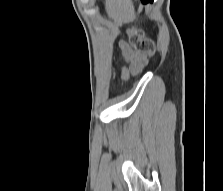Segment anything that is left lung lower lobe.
Wrapping results in <instances>:
<instances>
[{
  "mask_svg": "<svg viewBox=\"0 0 223 191\" xmlns=\"http://www.w3.org/2000/svg\"><path fill=\"white\" fill-rule=\"evenodd\" d=\"M143 3H149V2H153V0H141Z\"/></svg>",
  "mask_w": 223,
  "mask_h": 191,
  "instance_id": "1",
  "label": "left lung lower lobe"
}]
</instances>
